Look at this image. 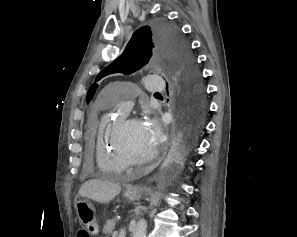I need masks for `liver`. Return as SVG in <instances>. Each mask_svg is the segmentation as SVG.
<instances>
[{"label": "liver", "instance_id": "6515ba94", "mask_svg": "<svg viewBox=\"0 0 297 237\" xmlns=\"http://www.w3.org/2000/svg\"><path fill=\"white\" fill-rule=\"evenodd\" d=\"M121 191L119 184L100 179L86 181L80 188L79 194L98 203L106 204L112 201Z\"/></svg>", "mask_w": 297, "mask_h": 237}]
</instances>
